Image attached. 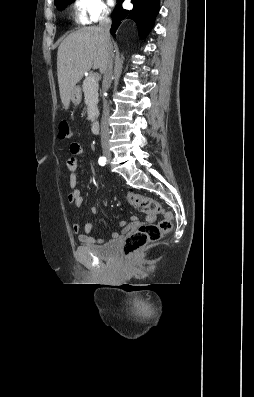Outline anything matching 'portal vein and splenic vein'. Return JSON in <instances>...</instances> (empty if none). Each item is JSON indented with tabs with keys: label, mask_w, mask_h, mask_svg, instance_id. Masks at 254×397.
Segmentation results:
<instances>
[{
	"label": "portal vein and splenic vein",
	"mask_w": 254,
	"mask_h": 397,
	"mask_svg": "<svg viewBox=\"0 0 254 397\" xmlns=\"http://www.w3.org/2000/svg\"><path fill=\"white\" fill-rule=\"evenodd\" d=\"M97 78H98V75H97V74H94L93 77H92V80H95V79H97Z\"/></svg>",
	"instance_id": "portal-vein-and-splenic-vein-1"
}]
</instances>
